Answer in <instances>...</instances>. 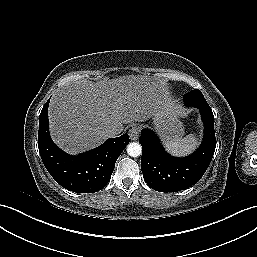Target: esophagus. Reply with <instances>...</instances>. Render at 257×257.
Masks as SVG:
<instances>
[{
  "label": "esophagus",
  "instance_id": "1",
  "mask_svg": "<svg viewBox=\"0 0 257 257\" xmlns=\"http://www.w3.org/2000/svg\"><path fill=\"white\" fill-rule=\"evenodd\" d=\"M139 134H140V129L137 126H132L131 129L129 130V138L132 141H135L139 138Z\"/></svg>",
  "mask_w": 257,
  "mask_h": 257
}]
</instances>
